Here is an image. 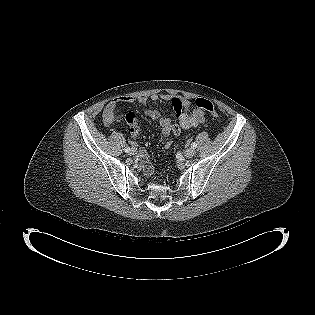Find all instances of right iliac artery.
Segmentation results:
<instances>
[{
	"instance_id": "obj_1",
	"label": "right iliac artery",
	"mask_w": 315,
	"mask_h": 315,
	"mask_svg": "<svg viewBox=\"0 0 315 315\" xmlns=\"http://www.w3.org/2000/svg\"><path fill=\"white\" fill-rule=\"evenodd\" d=\"M124 151H125L126 153H129V152H130V148H129V147H126V148L124 149Z\"/></svg>"
}]
</instances>
